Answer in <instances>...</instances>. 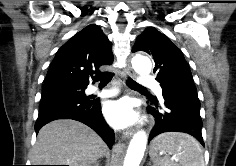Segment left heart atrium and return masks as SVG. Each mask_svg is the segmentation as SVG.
Masks as SVG:
<instances>
[{
	"mask_svg": "<svg viewBox=\"0 0 236 166\" xmlns=\"http://www.w3.org/2000/svg\"><path fill=\"white\" fill-rule=\"evenodd\" d=\"M104 115L109 124L115 128L131 126L138 119V115L129 99H120L107 103L104 108Z\"/></svg>",
	"mask_w": 236,
	"mask_h": 166,
	"instance_id": "39dd6f15",
	"label": "left heart atrium"
}]
</instances>
